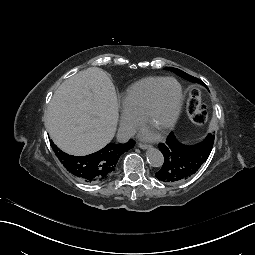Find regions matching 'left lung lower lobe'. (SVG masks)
<instances>
[{
    "mask_svg": "<svg viewBox=\"0 0 255 255\" xmlns=\"http://www.w3.org/2000/svg\"><path fill=\"white\" fill-rule=\"evenodd\" d=\"M158 151L164 153V165L155 173L157 180L178 183L194 177L200 166L205 164L210 154V142L196 143L191 146L182 145L173 134L169 135L158 146Z\"/></svg>",
    "mask_w": 255,
    "mask_h": 255,
    "instance_id": "0a47b994",
    "label": "left lung lower lobe"
}]
</instances>
